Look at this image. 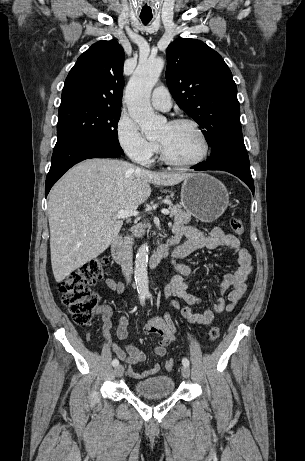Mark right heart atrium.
<instances>
[{
  "instance_id": "d8ad5b80",
  "label": "right heart atrium",
  "mask_w": 305,
  "mask_h": 461,
  "mask_svg": "<svg viewBox=\"0 0 305 461\" xmlns=\"http://www.w3.org/2000/svg\"><path fill=\"white\" fill-rule=\"evenodd\" d=\"M116 138L120 147L135 162L151 163L157 144L148 140L138 125L127 115H121L116 125Z\"/></svg>"
}]
</instances>
